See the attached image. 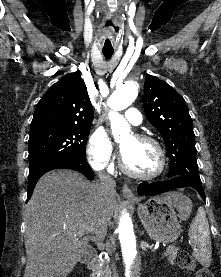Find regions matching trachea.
Masks as SVG:
<instances>
[{"mask_svg":"<svg viewBox=\"0 0 221 277\" xmlns=\"http://www.w3.org/2000/svg\"><path fill=\"white\" fill-rule=\"evenodd\" d=\"M113 52L114 51H102V53L106 59H110L113 55Z\"/></svg>","mask_w":221,"mask_h":277,"instance_id":"3493384b","label":"trachea"}]
</instances>
